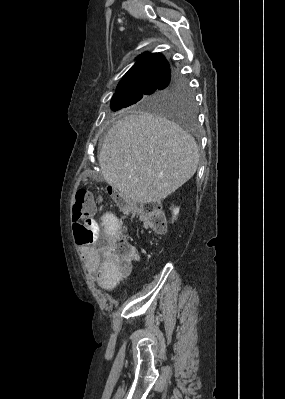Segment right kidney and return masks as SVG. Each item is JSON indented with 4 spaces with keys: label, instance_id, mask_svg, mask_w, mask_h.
I'll return each instance as SVG.
<instances>
[{
    "label": "right kidney",
    "instance_id": "1",
    "mask_svg": "<svg viewBox=\"0 0 285 399\" xmlns=\"http://www.w3.org/2000/svg\"><path fill=\"white\" fill-rule=\"evenodd\" d=\"M178 213H179V208L177 207V208H175V209L173 210V219L176 218V216L178 215Z\"/></svg>",
    "mask_w": 285,
    "mask_h": 399
}]
</instances>
